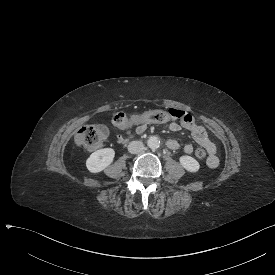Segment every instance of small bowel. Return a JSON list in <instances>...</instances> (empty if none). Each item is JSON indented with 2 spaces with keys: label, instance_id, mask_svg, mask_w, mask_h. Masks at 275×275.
<instances>
[{
  "label": "small bowel",
  "instance_id": "c3829d8e",
  "mask_svg": "<svg viewBox=\"0 0 275 275\" xmlns=\"http://www.w3.org/2000/svg\"><path fill=\"white\" fill-rule=\"evenodd\" d=\"M168 114L170 117H175L174 121L169 126L170 130L174 132L178 131L180 130L181 126L189 130L196 143L207 151L209 155L207 159V165L210 168H216L219 164V159L216 156V146L209 138L206 130L194 121L193 112H185L182 110H175L174 108H169ZM133 123L136 125H141V123L138 122ZM167 147L171 150H178L180 149L181 144L175 139H170L167 142ZM193 149L194 147L190 143L185 144L183 147V150L186 154H191L193 152Z\"/></svg>",
  "mask_w": 275,
  "mask_h": 275
}]
</instances>
